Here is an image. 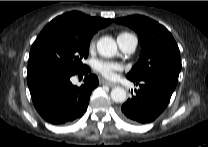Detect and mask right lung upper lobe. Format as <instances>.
I'll return each instance as SVG.
<instances>
[{"mask_svg": "<svg viewBox=\"0 0 208 147\" xmlns=\"http://www.w3.org/2000/svg\"><path fill=\"white\" fill-rule=\"evenodd\" d=\"M111 19L90 17L78 11H72L56 17L40 34L53 30H67L91 38L100 28L109 25Z\"/></svg>", "mask_w": 208, "mask_h": 147, "instance_id": "right-lung-upper-lobe-1", "label": "right lung upper lobe"}]
</instances>
